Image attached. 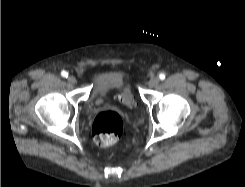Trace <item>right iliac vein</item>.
<instances>
[{
	"mask_svg": "<svg viewBox=\"0 0 245 187\" xmlns=\"http://www.w3.org/2000/svg\"><path fill=\"white\" fill-rule=\"evenodd\" d=\"M68 82L70 84H76L77 80L76 78L73 76V75H70L68 78H67Z\"/></svg>",
	"mask_w": 245,
	"mask_h": 187,
	"instance_id": "right-iliac-vein-1",
	"label": "right iliac vein"
}]
</instances>
